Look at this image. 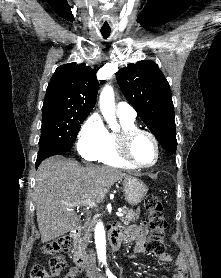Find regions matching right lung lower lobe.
Masks as SVG:
<instances>
[{
    "label": "right lung lower lobe",
    "instance_id": "right-lung-lower-lobe-1",
    "mask_svg": "<svg viewBox=\"0 0 221 278\" xmlns=\"http://www.w3.org/2000/svg\"><path fill=\"white\" fill-rule=\"evenodd\" d=\"M72 146L68 145L65 147L57 148L51 151H48L46 153H43L41 155H38L37 160H36V169L38 168L39 164L46 158L53 156V155H58V154H63L67 152Z\"/></svg>",
    "mask_w": 221,
    "mask_h": 278
}]
</instances>
